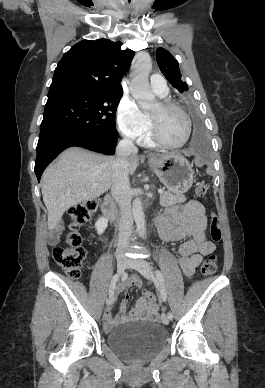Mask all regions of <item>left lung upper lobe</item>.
Listing matches in <instances>:
<instances>
[{
    "label": "left lung upper lobe",
    "mask_w": 265,
    "mask_h": 388,
    "mask_svg": "<svg viewBox=\"0 0 265 388\" xmlns=\"http://www.w3.org/2000/svg\"><path fill=\"white\" fill-rule=\"evenodd\" d=\"M156 60L161 72L173 87L181 93L188 90L187 84L181 80L177 60L167 50L158 48L156 51Z\"/></svg>",
    "instance_id": "1"
}]
</instances>
